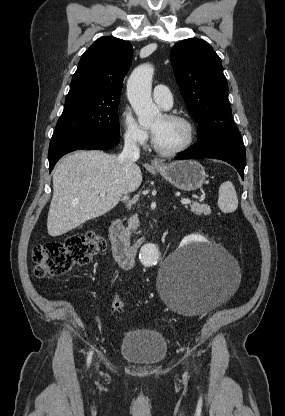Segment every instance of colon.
I'll list each match as a JSON object with an SVG mask.
<instances>
[{"mask_svg":"<svg viewBox=\"0 0 285 416\" xmlns=\"http://www.w3.org/2000/svg\"><path fill=\"white\" fill-rule=\"evenodd\" d=\"M105 248L104 239L93 231L69 236L64 241H51L34 246L32 257L37 277L60 276L75 266L88 264L94 255ZM111 310L116 314L124 312V303L114 297Z\"/></svg>","mask_w":285,"mask_h":416,"instance_id":"obj_1","label":"colon"}]
</instances>
